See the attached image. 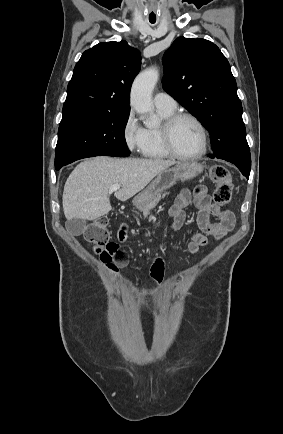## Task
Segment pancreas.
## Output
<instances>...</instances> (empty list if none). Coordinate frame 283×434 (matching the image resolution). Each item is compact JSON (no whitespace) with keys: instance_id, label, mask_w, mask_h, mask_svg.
I'll return each instance as SVG.
<instances>
[{"instance_id":"obj_1","label":"pancreas","mask_w":283,"mask_h":434,"mask_svg":"<svg viewBox=\"0 0 283 434\" xmlns=\"http://www.w3.org/2000/svg\"><path fill=\"white\" fill-rule=\"evenodd\" d=\"M167 195V193H162L156 196L149 204L144 207L139 208L143 212L144 217H147L150 211Z\"/></svg>"}]
</instances>
